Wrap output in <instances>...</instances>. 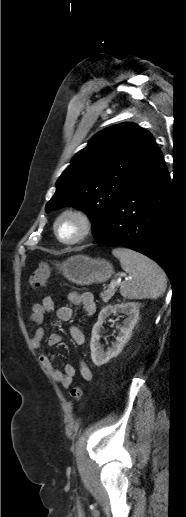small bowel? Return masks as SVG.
Here are the masks:
<instances>
[{
    "label": "small bowel",
    "instance_id": "1",
    "mask_svg": "<svg viewBox=\"0 0 186 517\" xmlns=\"http://www.w3.org/2000/svg\"><path fill=\"white\" fill-rule=\"evenodd\" d=\"M66 301L69 305L62 306L56 310L57 319L61 322H67L72 319L73 310L70 305H79L82 308V312L85 316H91L96 310V304L94 297L89 292L81 294L75 292H69L66 295ZM55 309V303L52 297L46 296L42 299L41 303H36L32 306L29 321L37 325L33 336L32 345L36 349H40L44 338V329L41 324L44 321L46 313H49ZM70 336L74 344L82 345L84 343V334L77 327H70ZM61 336L58 333H51L48 336L47 343L50 346H55L61 343ZM41 365L48 371L51 378L63 388L67 389L72 384L73 378L76 374V369L72 364H66L62 370L56 368L50 356L42 351L39 355ZM80 374L85 381L92 379V372L90 368L84 363L80 362Z\"/></svg>",
    "mask_w": 186,
    "mask_h": 517
}]
</instances>
